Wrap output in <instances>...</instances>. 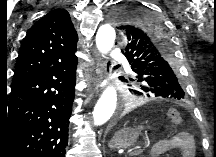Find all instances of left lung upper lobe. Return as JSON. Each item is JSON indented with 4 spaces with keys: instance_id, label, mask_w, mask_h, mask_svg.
<instances>
[{
    "instance_id": "obj_1",
    "label": "left lung upper lobe",
    "mask_w": 216,
    "mask_h": 157,
    "mask_svg": "<svg viewBox=\"0 0 216 157\" xmlns=\"http://www.w3.org/2000/svg\"><path fill=\"white\" fill-rule=\"evenodd\" d=\"M111 17L121 32L122 53L136 74L138 90L134 92L161 100H184V86L167 41L170 31L163 19L134 3L117 8Z\"/></svg>"
}]
</instances>
